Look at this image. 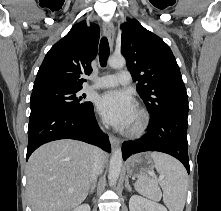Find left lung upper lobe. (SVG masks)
Wrapping results in <instances>:
<instances>
[{
	"mask_svg": "<svg viewBox=\"0 0 221 211\" xmlns=\"http://www.w3.org/2000/svg\"><path fill=\"white\" fill-rule=\"evenodd\" d=\"M121 28V53L151 118L173 111L188 112L187 92L169 46L136 19H127Z\"/></svg>",
	"mask_w": 221,
	"mask_h": 211,
	"instance_id": "obj_1",
	"label": "left lung upper lobe"
}]
</instances>
